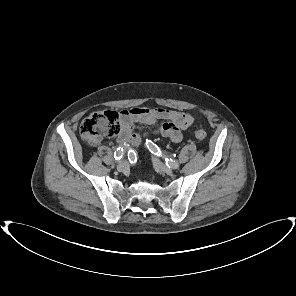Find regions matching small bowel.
<instances>
[{
	"label": "small bowel",
	"mask_w": 296,
	"mask_h": 296,
	"mask_svg": "<svg viewBox=\"0 0 296 296\" xmlns=\"http://www.w3.org/2000/svg\"><path fill=\"white\" fill-rule=\"evenodd\" d=\"M157 120H165L159 127H155ZM193 123L188 113L167 108L135 107L120 113V130L118 143L122 146L136 147L140 145L146 133L142 126L153 128L155 134L169 138L178 143L182 140V131ZM137 127H139L138 130Z\"/></svg>",
	"instance_id": "c3829d8e"
}]
</instances>
